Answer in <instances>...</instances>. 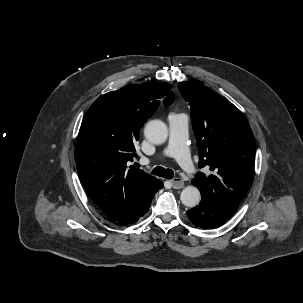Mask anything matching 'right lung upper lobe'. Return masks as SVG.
Here are the masks:
<instances>
[{
  "label": "right lung upper lobe",
  "mask_w": 303,
  "mask_h": 303,
  "mask_svg": "<svg viewBox=\"0 0 303 303\" xmlns=\"http://www.w3.org/2000/svg\"><path fill=\"white\" fill-rule=\"evenodd\" d=\"M168 83L130 85L100 96L81 124L75 147L80 181L104 214L114 217L133 206L158 180L135 166V141L161 99L174 101Z\"/></svg>",
  "instance_id": "cb5924a9"
}]
</instances>
